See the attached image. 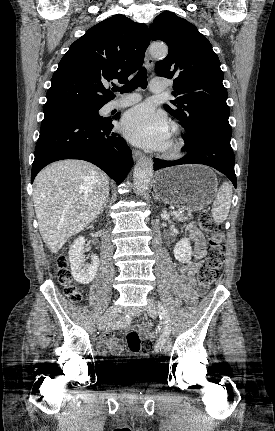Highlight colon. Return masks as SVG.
Segmentation results:
<instances>
[{
    "mask_svg": "<svg viewBox=\"0 0 275 431\" xmlns=\"http://www.w3.org/2000/svg\"><path fill=\"white\" fill-rule=\"evenodd\" d=\"M197 225L208 236V247L205 261L200 267L197 275L198 292L203 295L209 286L218 276V271L224 261V233L221 227L216 224L208 213H201L197 217ZM58 280L63 285L64 294L74 303L82 300V294L72 281L71 273L68 269V260L62 256L58 260ZM127 346L132 353H142L147 355L153 348L150 340H141L135 330L127 333Z\"/></svg>",
    "mask_w": 275,
    "mask_h": 431,
    "instance_id": "obj_1",
    "label": "colon"
}]
</instances>
